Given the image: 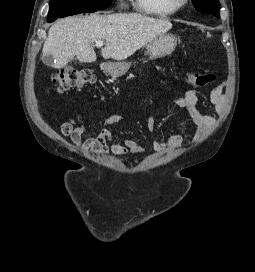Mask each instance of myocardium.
Wrapping results in <instances>:
<instances>
[{"label": "myocardium", "mask_w": 255, "mask_h": 272, "mask_svg": "<svg viewBox=\"0 0 255 272\" xmlns=\"http://www.w3.org/2000/svg\"><path fill=\"white\" fill-rule=\"evenodd\" d=\"M169 5L174 8L175 10H180L181 8H183L188 0H167Z\"/></svg>", "instance_id": "obj_1"}]
</instances>
